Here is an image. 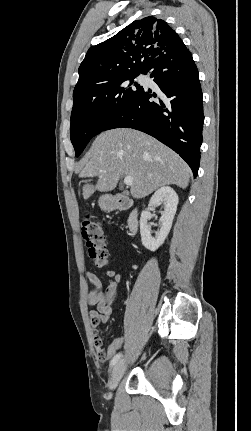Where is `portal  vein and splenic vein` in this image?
Wrapping results in <instances>:
<instances>
[{
    "mask_svg": "<svg viewBox=\"0 0 251 431\" xmlns=\"http://www.w3.org/2000/svg\"><path fill=\"white\" fill-rule=\"evenodd\" d=\"M133 181H134V179L132 176H126L124 178V184L125 185H132Z\"/></svg>",
    "mask_w": 251,
    "mask_h": 431,
    "instance_id": "portal-vein-and-splenic-vein-1",
    "label": "portal vein and splenic vein"
}]
</instances>
